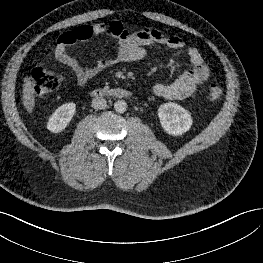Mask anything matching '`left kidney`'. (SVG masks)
<instances>
[{"label":"left kidney","instance_id":"obj_1","mask_svg":"<svg viewBox=\"0 0 263 263\" xmlns=\"http://www.w3.org/2000/svg\"><path fill=\"white\" fill-rule=\"evenodd\" d=\"M161 126L170 135L179 136L192 126V118L187 110L176 103H165L158 109Z\"/></svg>","mask_w":263,"mask_h":263}]
</instances>
